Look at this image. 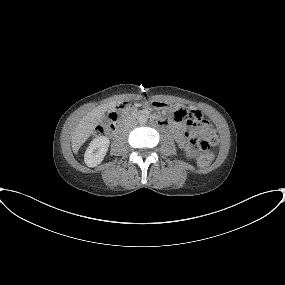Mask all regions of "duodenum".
I'll return each mask as SVG.
<instances>
[{
  "label": "duodenum",
  "instance_id": "410a0bca",
  "mask_svg": "<svg viewBox=\"0 0 285 285\" xmlns=\"http://www.w3.org/2000/svg\"><path fill=\"white\" fill-rule=\"evenodd\" d=\"M154 121L156 124H158L160 126H164L167 124V121L163 118H156V119H154ZM108 128L112 134H116L121 129V125L119 123H116V122H111L108 124Z\"/></svg>",
  "mask_w": 285,
  "mask_h": 285
}]
</instances>
